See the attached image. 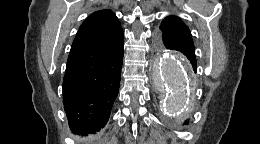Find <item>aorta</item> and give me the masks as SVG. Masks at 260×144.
Wrapping results in <instances>:
<instances>
[{
    "mask_svg": "<svg viewBox=\"0 0 260 144\" xmlns=\"http://www.w3.org/2000/svg\"><path fill=\"white\" fill-rule=\"evenodd\" d=\"M153 71L156 87L166 92V111L172 114L185 109L191 91L187 61L179 54L164 52L157 56Z\"/></svg>",
    "mask_w": 260,
    "mask_h": 144,
    "instance_id": "762f6f07",
    "label": "aorta"
}]
</instances>
